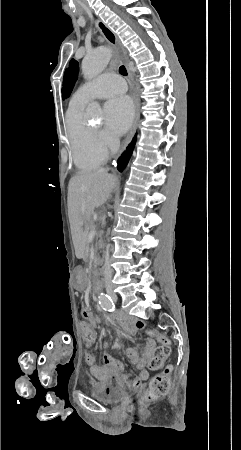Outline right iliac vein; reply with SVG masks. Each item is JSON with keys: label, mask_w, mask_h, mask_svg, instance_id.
<instances>
[{"label": "right iliac vein", "mask_w": 241, "mask_h": 450, "mask_svg": "<svg viewBox=\"0 0 241 450\" xmlns=\"http://www.w3.org/2000/svg\"><path fill=\"white\" fill-rule=\"evenodd\" d=\"M108 293H109V295H110L113 299H116V298H117L116 295L113 293L112 290H108Z\"/></svg>", "instance_id": "63e3f726"}]
</instances>
